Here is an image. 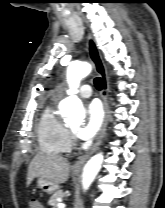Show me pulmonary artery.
Segmentation results:
<instances>
[{"label":"pulmonary artery","mask_w":165,"mask_h":208,"mask_svg":"<svg viewBox=\"0 0 165 208\" xmlns=\"http://www.w3.org/2000/svg\"><path fill=\"white\" fill-rule=\"evenodd\" d=\"M79 95L82 98H89L92 96V88L90 85H83L80 88Z\"/></svg>","instance_id":"e3ab8cb5"}]
</instances>
